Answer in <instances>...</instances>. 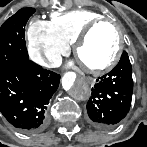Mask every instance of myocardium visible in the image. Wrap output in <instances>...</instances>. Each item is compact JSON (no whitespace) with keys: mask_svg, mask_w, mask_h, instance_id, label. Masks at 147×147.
<instances>
[{"mask_svg":"<svg viewBox=\"0 0 147 147\" xmlns=\"http://www.w3.org/2000/svg\"><path fill=\"white\" fill-rule=\"evenodd\" d=\"M111 26L113 27L116 32H117V36H118V41H117V46L116 49L112 55V57L104 64L99 65V66H91V65H87L83 62H81L79 60V52L80 49L82 48V46L86 43V41L88 40L89 36L91 35V33L98 27L101 26ZM123 50V36H122V32L121 30L116 26V24H114L112 21L108 20V19H99L96 20L92 23H90L89 25H87L82 31L81 33L77 36L76 40L74 41L73 44V53L74 56L76 57V59L79 61L80 65L82 66V68L91 73V74H101L104 73L106 71H109L110 69H112L116 63L118 62L121 53Z\"/></svg>","mask_w":147,"mask_h":147,"instance_id":"myocardium-1","label":"myocardium"}]
</instances>
